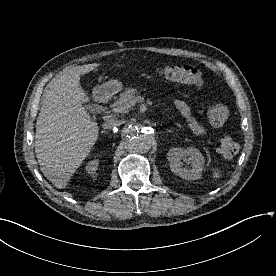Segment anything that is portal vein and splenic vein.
Instances as JSON below:
<instances>
[{
	"mask_svg": "<svg viewBox=\"0 0 276 276\" xmlns=\"http://www.w3.org/2000/svg\"><path fill=\"white\" fill-rule=\"evenodd\" d=\"M144 103L145 100L143 97H135L134 99H131V100H126V101H120V102H117L113 105V111L114 112H118V113H121V112H127L128 109L132 106L135 105V103Z\"/></svg>",
	"mask_w": 276,
	"mask_h": 276,
	"instance_id": "obj_1",
	"label": "portal vein and splenic vein"
}]
</instances>
